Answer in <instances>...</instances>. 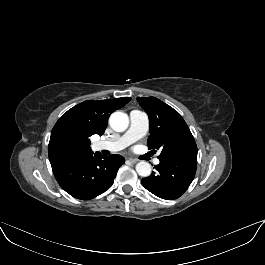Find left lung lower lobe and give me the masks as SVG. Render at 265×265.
<instances>
[{
	"instance_id": "1",
	"label": "left lung lower lobe",
	"mask_w": 265,
	"mask_h": 265,
	"mask_svg": "<svg viewBox=\"0 0 265 265\" xmlns=\"http://www.w3.org/2000/svg\"><path fill=\"white\" fill-rule=\"evenodd\" d=\"M154 166L157 172L141 180L143 186L154 195L173 200L180 197L194 179L197 157L163 158Z\"/></svg>"
}]
</instances>
